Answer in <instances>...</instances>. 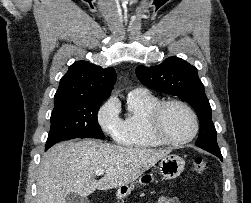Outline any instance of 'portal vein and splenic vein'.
I'll return each mask as SVG.
<instances>
[{
  "mask_svg": "<svg viewBox=\"0 0 251 203\" xmlns=\"http://www.w3.org/2000/svg\"><path fill=\"white\" fill-rule=\"evenodd\" d=\"M104 170H97L96 172H95V176H101V175H103L104 174Z\"/></svg>",
  "mask_w": 251,
  "mask_h": 203,
  "instance_id": "1",
  "label": "portal vein and splenic vein"
}]
</instances>
